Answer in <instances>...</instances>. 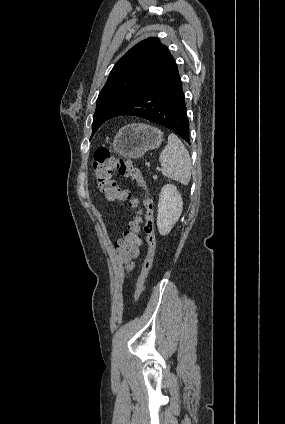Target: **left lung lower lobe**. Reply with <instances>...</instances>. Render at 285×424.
I'll list each match as a JSON object with an SVG mask.
<instances>
[{
	"instance_id": "1",
	"label": "left lung lower lobe",
	"mask_w": 285,
	"mask_h": 424,
	"mask_svg": "<svg viewBox=\"0 0 285 424\" xmlns=\"http://www.w3.org/2000/svg\"><path fill=\"white\" fill-rule=\"evenodd\" d=\"M125 115L163 125L189 143L185 97L173 57L155 80L120 105L108 120Z\"/></svg>"
}]
</instances>
